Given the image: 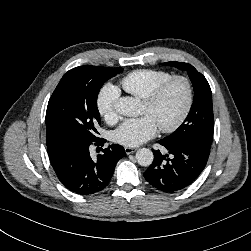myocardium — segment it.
<instances>
[{"label": "myocardium", "instance_id": "myocardium-1", "mask_svg": "<svg viewBox=\"0 0 251 251\" xmlns=\"http://www.w3.org/2000/svg\"><path fill=\"white\" fill-rule=\"evenodd\" d=\"M176 82H180L183 84L186 91V99L181 113L174 122L168 125L158 126L159 130L164 133H172L176 131L178 128L182 126V124L187 119L191 111L194 100V90L192 82L188 77L184 75H174L170 77L167 81H165L163 84L158 86L144 99V104L147 107L151 108L155 106L160 101L162 96L167 92V90Z\"/></svg>", "mask_w": 251, "mask_h": 251}]
</instances>
